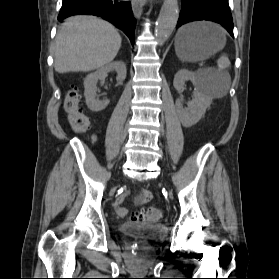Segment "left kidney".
<instances>
[{
  "mask_svg": "<svg viewBox=\"0 0 279 279\" xmlns=\"http://www.w3.org/2000/svg\"><path fill=\"white\" fill-rule=\"evenodd\" d=\"M191 81L195 87L194 99L183 108V100L177 99L176 110L180 122L186 128H189L202 118L206 109L210 107L212 97L205 91V75L202 72H192L187 69H181L174 77L173 85L179 92L185 89V82Z\"/></svg>",
  "mask_w": 279,
  "mask_h": 279,
  "instance_id": "left-kidney-1",
  "label": "left kidney"
}]
</instances>
